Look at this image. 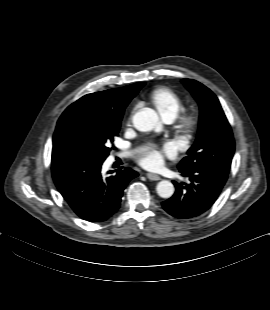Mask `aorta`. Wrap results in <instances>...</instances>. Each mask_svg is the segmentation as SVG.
<instances>
[{
    "mask_svg": "<svg viewBox=\"0 0 270 310\" xmlns=\"http://www.w3.org/2000/svg\"><path fill=\"white\" fill-rule=\"evenodd\" d=\"M133 124L139 131H161L162 125L157 113L150 108H143L133 116ZM157 194L162 198H170L174 193V185L168 180H162L157 184Z\"/></svg>",
    "mask_w": 270,
    "mask_h": 310,
    "instance_id": "1",
    "label": "aorta"
}]
</instances>
